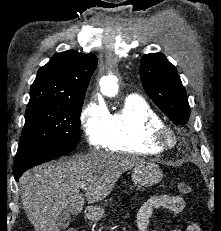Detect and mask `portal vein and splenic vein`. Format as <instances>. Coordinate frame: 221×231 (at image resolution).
Returning <instances> with one entry per match:
<instances>
[{"instance_id":"obj_1","label":"portal vein and splenic vein","mask_w":221,"mask_h":231,"mask_svg":"<svg viewBox=\"0 0 221 231\" xmlns=\"http://www.w3.org/2000/svg\"><path fill=\"white\" fill-rule=\"evenodd\" d=\"M81 188H82L83 190H86V187H85V186H81Z\"/></svg>"}]
</instances>
